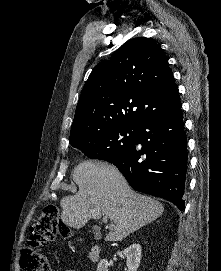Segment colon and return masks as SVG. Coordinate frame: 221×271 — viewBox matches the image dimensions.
<instances>
[{
    "instance_id": "1",
    "label": "colon",
    "mask_w": 221,
    "mask_h": 271,
    "mask_svg": "<svg viewBox=\"0 0 221 271\" xmlns=\"http://www.w3.org/2000/svg\"><path fill=\"white\" fill-rule=\"evenodd\" d=\"M57 233L67 236L69 228L61 226L58 207L49 204L44 206L41 214L34 219L31 236L20 249L21 271H51L48 259L41 249L52 242Z\"/></svg>"
}]
</instances>
